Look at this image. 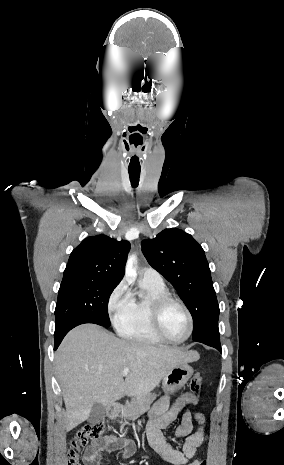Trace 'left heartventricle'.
Returning <instances> with one entry per match:
<instances>
[{
  "instance_id": "b2bd125f",
  "label": "left heart ventricle",
  "mask_w": 284,
  "mask_h": 465,
  "mask_svg": "<svg viewBox=\"0 0 284 465\" xmlns=\"http://www.w3.org/2000/svg\"><path fill=\"white\" fill-rule=\"evenodd\" d=\"M162 329L166 337L171 340L183 339L189 330L186 312L178 305H170L164 313Z\"/></svg>"
}]
</instances>
